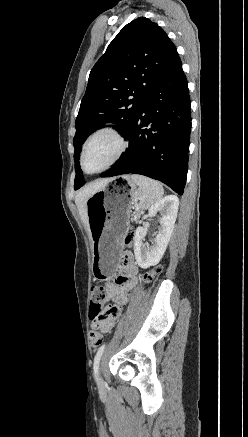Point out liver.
<instances>
[{
	"instance_id": "1",
	"label": "liver",
	"mask_w": 248,
	"mask_h": 437,
	"mask_svg": "<svg viewBox=\"0 0 248 437\" xmlns=\"http://www.w3.org/2000/svg\"><path fill=\"white\" fill-rule=\"evenodd\" d=\"M108 182V179H102L97 180L95 182H92L83 188H81L76 196H75V203L77 205L79 214L87 226H88V216H87V200L90 198V196L95 193L97 190H99L104 184Z\"/></svg>"
}]
</instances>
